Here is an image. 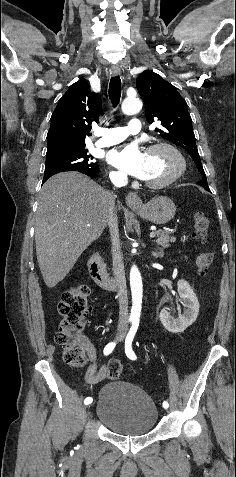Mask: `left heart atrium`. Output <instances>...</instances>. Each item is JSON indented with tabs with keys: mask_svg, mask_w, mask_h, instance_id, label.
Segmentation results:
<instances>
[{
	"mask_svg": "<svg viewBox=\"0 0 236 477\" xmlns=\"http://www.w3.org/2000/svg\"><path fill=\"white\" fill-rule=\"evenodd\" d=\"M109 162L133 177L143 179L146 173L147 153L136 144H128L109 153Z\"/></svg>",
	"mask_w": 236,
	"mask_h": 477,
	"instance_id": "1",
	"label": "left heart atrium"
}]
</instances>
